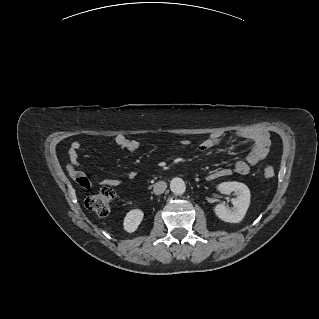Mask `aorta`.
Masks as SVG:
<instances>
[{"mask_svg":"<svg viewBox=\"0 0 319 319\" xmlns=\"http://www.w3.org/2000/svg\"><path fill=\"white\" fill-rule=\"evenodd\" d=\"M170 189L175 195H182L186 190V184L183 179L175 177L170 182Z\"/></svg>","mask_w":319,"mask_h":319,"instance_id":"obj_1","label":"aorta"}]
</instances>
